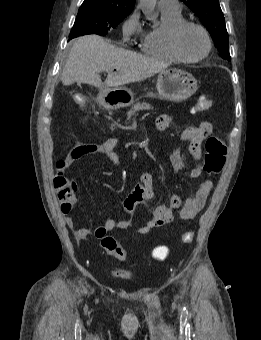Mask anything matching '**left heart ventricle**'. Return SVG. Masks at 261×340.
<instances>
[{
	"mask_svg": "<svg viewBox=\"0 0 261 340\" xmlns=\"http://www.w3.org/2000/svg\"><path fill=\"white\" fill-rule=\"evenodd\" d=\"M178 46L184 56L196 58L205 52L207 43L200 29L187 26L179 35Z\"/></svg>",
	"mask_w": 261,
	"mask_h": 340,
	"instance_id": "left-heart-ventricle-1",
	"label": "left heart ventricle"
}]
</instances>
